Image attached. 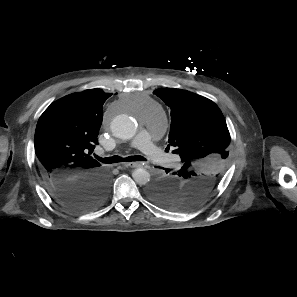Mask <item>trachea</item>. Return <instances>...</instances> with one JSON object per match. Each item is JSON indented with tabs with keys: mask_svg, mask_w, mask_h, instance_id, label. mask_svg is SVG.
<instances>
[{
	"mask_svg": "<svg viewBox=\"0 0 297 297\" xmlns=\"http://www.w3.org/2000/svg\"><path fill=\"white\" fill-rule=\"evenodd\" d=\"M95 157L102 163H106V164H112V163H118V162H123V161H127V162H136V161H146V158L136 155V156H128L126 158H122L120 156L114 155L112 157H106V158H102L99 156Z\"/></svg>",
	"mask_w": 297,
	"mask_h": 297,
	"instance_id": "trachea-1",
	"label": "trachea"
}]
</instances>
